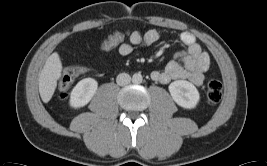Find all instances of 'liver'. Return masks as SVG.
<instances>
[{"mask_svg":"<svg viewBox=\"0 0 267 166\" xmlns=\"http://www.w3.org/2000/svg\"><path fill=\"white\" fill-rule=\"evenodd\" d=\"M62 62L57 52L52 53L45 62L39 75V93L44 103L51 100L57 81L61 77Z\"/></svg>","mask_w":267,"mask_h":166,"instance_id":"obj_1","label":"liver"}]
</instances>
